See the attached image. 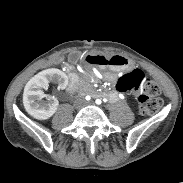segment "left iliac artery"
Wrapping results in <instances>:
<instances>
[{"label": "left iliac artery", "mask_w": 183, "mask_h": 183, "mask_svg": "<svg viewBox=\"0 0 183 183\" xmlns=\"http://www.w3.org/2000/svg\"><path fill=\"white\" fill-rule=\"evenodd\" d=\"M96 104L100 105L102 103V101L100 99H97L96 101Z\"/></svg>", "instance_id": "left-iliac-artery-1"}]
</instances>
